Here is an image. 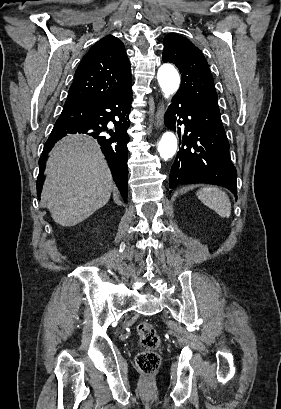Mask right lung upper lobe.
Listing matches in <instances>:
<instances>
[{
  "mask_svg": "<svg viewBox=\"0 0 281 409\" xmlns=\"http://www.w3.org/2000/svg\"><path fill=\"white\" fill-rule=\"evenodd\" d=\"M131 85L130 62L124 44L117 37L107 35L81 60L65 103L93 102Z\"/></svg>",
  "mask_w": 281,
  "mask_h": 409,
  "instance_id": "right-lung-upper-lobe-1",
  "label": "right lung upper lobe"
}]
</instances>
